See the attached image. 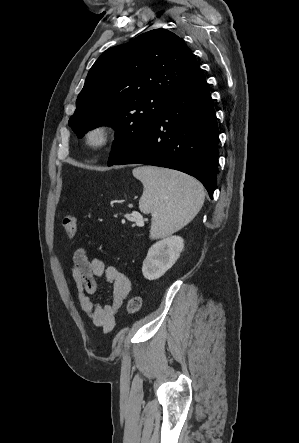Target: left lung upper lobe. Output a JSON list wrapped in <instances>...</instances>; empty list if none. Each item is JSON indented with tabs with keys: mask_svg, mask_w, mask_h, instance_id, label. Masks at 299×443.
I'll return each mask as SVG.
<instances>
[{
	"mask_svg": "<svg viewBox=\"0 0 299 443\" xmlns=\"http://www.w3.org/2000/svg\"><path fill=\"white\" fill-rule=\"evenodd\" d=\"M199 67L192 52L166 29L109 48L88 72L69 126L82 138L108 125L116 130L108 164L118 161L159 118L176 89Z\"/></svg>",
	"mask_w": 299,
	"mask_h": 443,
	"instance_id": "5c2ea615",
	"label": "left lung upper lobe"
}]
</instances>
